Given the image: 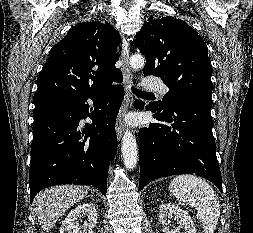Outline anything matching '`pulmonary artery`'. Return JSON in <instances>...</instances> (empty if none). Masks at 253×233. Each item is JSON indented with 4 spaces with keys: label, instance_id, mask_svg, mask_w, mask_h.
Listing matches in <instances>:
<instances>
[{
    "label": "pulmonary artery",
    "instance_id": "e3ab8cb5",
    "mask_svg": "<svg viewBox=\"0 0 253 233\" xmlns=\"http://www.w3.org/2000/svg\"><path fill=\"white\" fill-rule=\"evenodd\" d=\"M144 88L149 91H155L162 95L168 93L169 88L160 80L154 78H147L143 82Z\"/></svg>",
    "mask_w": 253,
    "mask_h": 233
}]
</instances>
